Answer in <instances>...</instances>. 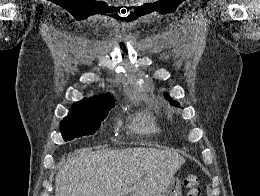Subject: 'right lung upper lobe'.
Listing matches in <instances>:
<instances>
[{"instance_id":"right-lung-upper-lobe-1","label":"right lung upper lobe","mask_w":260,"mask_h":196,"mask_svg":"<svg viewBox=\"0 0 260 196\" xmlns=\"http://www.w3.org/2000/svg\"><path fill=\"white\" fill-rule=\"evenodd\" d=\"M101 99L97 97H92L90 99H84L77 104H75L72 109L78 110H97V109H107L114 107V100L107 97V95L100 96Z\"/></svg>"}]
</instances>
